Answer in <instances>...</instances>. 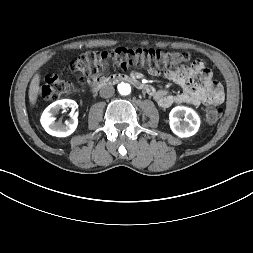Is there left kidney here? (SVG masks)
I'll return each instance as SVG.
<instances>
[{
  "label": "left kidney",
  "instance_id": "left-kidney-1",
  "mask_svg": "<svg viewBox=\"0 0 253 253\" xmlns=\"http://www.w3.org/2000/svg\"><path fill=\"white\" fill-rule=\"evenodd\" d=\"M170 128L180 138L193 136L200 127V118L191 108L174 107L169 114Z\"/></svg>",
  "mask_w": 253,
  "mask_h": 253
}]
</instances>
